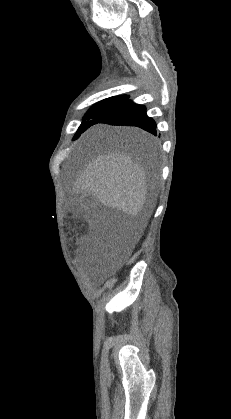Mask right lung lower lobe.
<instances>
[{
  "label": "right lung lower lobe",
  "instance_id": "obj_1",
  "mask_svg": "<svg viewBox=\"0 0 231 419\" xmlns=\"http://www.w3.org/2000/svg\"><path fill=\"white\" fill-rule=\"evenodd\" d=\"M96 123H108L112 125H132L157 135L155 121L148 117L144 105H138L127 100L101 115Z\"/></svg>",
  "mask_w": 231,
  "mask_h": 419
}]
</instances>
